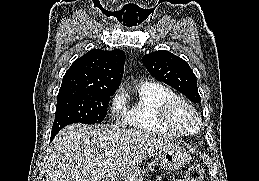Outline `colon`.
I'll list each match as a JSON object with an SVG mask.
<instances>
[{"label": "colon", "instance_id": "5ec220e1", "mask_svg": "<svg viewBox=\"0 0 259 181\" xmlns=\"http://www.w3.org/2000/svg\"><path fill=\"white\" fill-rule=\"evenodd\" d=\"M179 181H204V170L198 164L191 165L185 176Z\"/></svg>", "mask_w": 259, "mask_h": 181}]
</instances>
